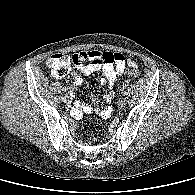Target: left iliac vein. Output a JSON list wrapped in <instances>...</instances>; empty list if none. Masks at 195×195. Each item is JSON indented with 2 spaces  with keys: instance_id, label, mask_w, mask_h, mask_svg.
<instances>
[{
  "instance_id": "4c4485c4",
  "label": "left iliac vein",
  "mask_w": 195,
  "mask_h": 195,
  "mask_svg": "<svg viewBox=\"0 0 195 195\" xmlns=\"http://www.w3.org/2000/svg\"><path fill=\"white\" fill-rule=\"evenodd\" d=\"M126 104V98L125 97H121L120 99H119V106H124Z\"/></svg>"
}]
</instances>
